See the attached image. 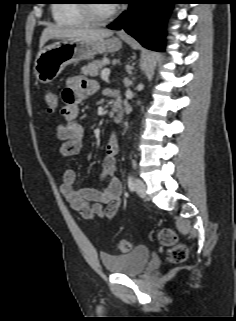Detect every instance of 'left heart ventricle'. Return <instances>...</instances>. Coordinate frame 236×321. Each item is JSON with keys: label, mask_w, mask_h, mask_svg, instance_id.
Returning <instances> with one entry per match:
<instances>
[{"label": "left heart ventricle", "mask_w": 236, "mask_h": 321, "mask_svg": "<svg viewBox=\"0 0 236 321\" xmlns=\"http://www.w3.org/2000/svg\"><path fill=\"white\" fill-rule=\"evenodd\" d=\"M93 8L97 16L103 17L111 11L113 5L108 3L107 0H96L94 1Z\"/></svg>", "instance_id": "b2bd125f"}]
</instances>
